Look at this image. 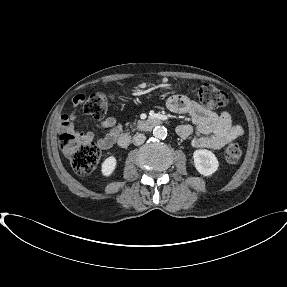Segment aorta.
Returning a JSON list of instances; mask_svg holds the SVG:
<instances>
[{"label": "aorta", "instance_id": "obj_1", "mask_svg": "<svg viewBox=\"0 0 287 287\" xmlns=\"http://www.w3.org/2000/svg\"><path fill=\"white\" fill-rule=\"evenodd\" d=\"M153 136L157 139H165L167 136V129L164 126H156L153 130Z\"/></svg>", "mask_w": 287, "mask_h": 287}]
</instances>
